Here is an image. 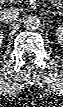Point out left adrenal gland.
Returning <instances> with one entry per match:
<instances>
[{
  "label": "left adrenal gland",
  "instance_id": "1",
  "mask_svg": "<svg viewBox=\"0 0 63 107\" xmlns=\"http://www.w3.org/2000/svg\"><path fill=\"white\" fill-rule=\"evenodd\" d=\"M53 14L55 15V14H61L59 11H56V12H53Z\"/></svg>",
  "mask_w": 63,
  "mask_h": 107
}]
</instances>
